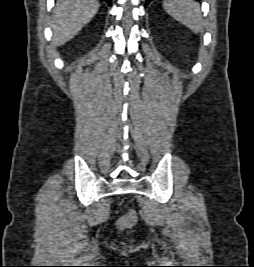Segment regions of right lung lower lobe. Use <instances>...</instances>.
I'll return each mask as SVG.
<instances>
[{
    "instance_id": "obj_1",
    "label": "right lung lower lobe",
    "mask_w": 254,
    "mask_h": 267,
    "mask_svg": "<svg viewBox=\"0 0 254 267\" xmlns=\"http://www.w3.org/2000/svg\"><path fill=\"white\" fill-rule=\"evenodd\" d=\"M108 3V5H111V0H104Z\"/></svg>"
}]
</instances>
